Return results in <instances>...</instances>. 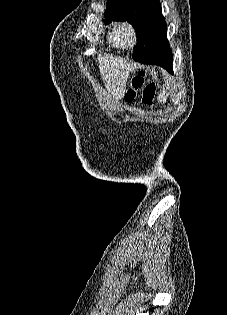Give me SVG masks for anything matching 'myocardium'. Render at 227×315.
Returning <instances> with one entry per match:
<instances>
[{
  "instance_id": "1",
  "label": "myocardium",
  "mask_w": 227,
  "mask_h": 315,
  "mask_svg": "<svg viewBox=\"0 0 227 315\" xmlns=\"http://www.w3.org/2000/svg\"><path fill=\"white\" fill-rule=\"evenodd\" d=\"M119 43L123 48L135 47L138 42L137 32L134 25L128 21L122 22L117 29Z\"/></svg>"
}]
</instances>
